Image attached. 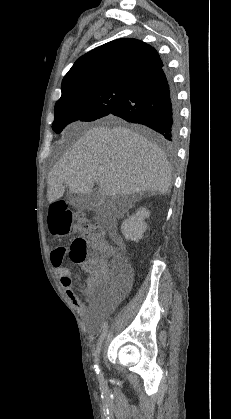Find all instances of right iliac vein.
Instances as JSON below:
<instances>
[{"label":"right iliac vein","mask_w":231,"mask_h":419,"mask_svg":"<svg viewBox=\"0 0 231 419\" xmlns=\"http://www.w3.org/2000/svg\"><path fill=\"white\" fill-rule=\"evenodd\" d=\"M101 349H102V342L100 344H98L96 351H95V359L98 362L99 358H100V354H101Z\"/></svg>","instance_id":"obj_1"}]
</instances>
